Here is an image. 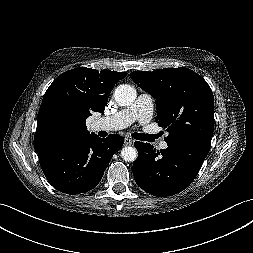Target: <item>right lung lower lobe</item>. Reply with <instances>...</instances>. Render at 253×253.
<instances>
[{"instance_id":"obj_1","label":"right lung lower lobe","mask_w":253,"mask_h":253,"mask_svg":"<svg viewBox=\"0 0 253 253\" xmlns=\"http://www.w3.org/2000/svg\"><path fill=\"white\" fill-rule=\"evenodd\" d=\"M124 138L90 136L77 141L54 142L37 151L41 168L57 190L80 194L100 182L112 156L122 147Z\"/></svg>"}]
</instances>
